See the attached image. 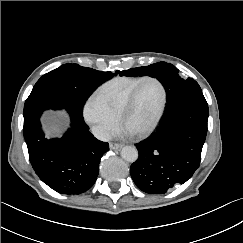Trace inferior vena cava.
Listing matches in <instances>:
<instances>
[{
  "mask_svg": "<svg viewBox=\"0 0 243 243\" xmlns=\"http://www.w3.org/2000/svg\"><path fill=\"white\" fill-rule=\"evenodd\" d=\"M91 131L94 137L101 141H110L112 139L111 132L101 125L92 126Z\"/></svg>",
  "mask_w": 243,
  "mask_h": 243,
  "instance_id": "inferior-vena-cava-1",
  "label": "inferior vena cava"
}]
</instances>
